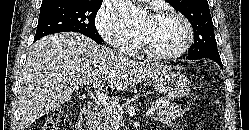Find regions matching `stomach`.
I'll list each match as a JSON object with an SVG mask.
<instances>
[{"label": "stomach", "mask_w": 249, "mask_h": 130, "mask_svg": "<svg viewBox=\"0 0 249 130\" xmlns=\"http://www.w3.org/2000/svg\"><path fill=\"white\" fill-rule=\"evenodd\" d=\"M153 88L169 99L181 98L190 91V81L188 78L173 70H166L150 79Z\"/></svg>", "instance_id": "1"}]
</instances>
